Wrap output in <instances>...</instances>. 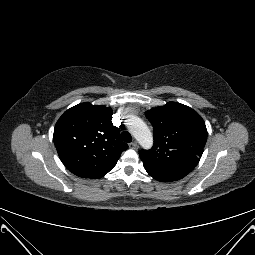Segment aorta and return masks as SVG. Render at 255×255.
I'll list each match as a JSON object with an SVG mask.
<instances>
[{"label": "aorta", "mask_w": 255, "mask_h": 255, "mask_svg": "<svg viewBox=\"0 0 255 255\" xmlns=\"http://www.w3.org/2000/svg\"><path fill=\"white\" fill-rule=\"evenodd\" d=\"M128 127L135 139L143 148L149 149L152 147V133L142 119L137 116H130L128 119Z\"/></svg>", "instance_id": "aorta-1"}]
</instances>
